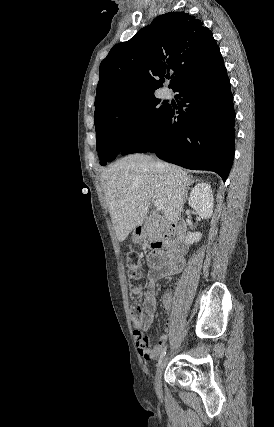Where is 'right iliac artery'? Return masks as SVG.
Masks as SVG:
<instances>
[{"instance_id":"obj_1","label":"right iliac artery","mask_w":274,"mask_h":427,"mask_svg":"<svg viewBox=\"0 0 274 427\" xmlns=\"http://www.w3.org/2000/svg\"><path fill=\"white\" fill-rule=\"evenodd\" d=\"M165 355H166V347L163 349V351H162V353H161V355H160V358H159V361H158V366L160 365V363L162 362V360H163V358L165 357Z\"/></svg>"}]
</instances>
